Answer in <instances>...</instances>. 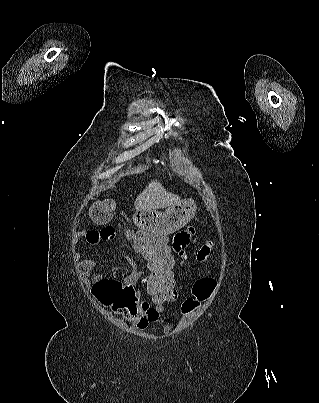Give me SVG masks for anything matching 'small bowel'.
I'll use <instances>...</instances> for the list:
<instances>
[{"label": "small bowel", "mask_w": 319, "mask_h": 403, "mask_svg": "<svg viewBox=\"0 0 319 403\" xmlns=\"http://www.w3.org/2000/svg\"><path fill=\"white\" fill-rule=\"evenodd\" d=\"M195 231L196 226L190 225L189 227H182L172 236L170 239L172 259L177 262L189 260L196 241ZM81 235L86 239L88 249H110L113 238L117 236V231L114 224H101L99 229L84 230ZM166 252H168L167 249ZM127 260L131 262L130 259ZM94 267L95 262L91 258L79 259L76 262L79 276L83 280L89 277ZM139 276L137 270H134L126 278V281L125 279H111L103 277L102 274H95L91 279L90 293L93 300L99 304L100 309H106L107 315H115L119 321L128 319L138 330L144 331L158 322L165 310V304L143 302L137 293V283L146 288V282H149V279L147 277L140 279ZM174 292L175 301L178 293L176 289ZM188 296H194L193 291ZM178 308H182V301Z\"/></svg>", "instance_id": "1"}]
</instances>
